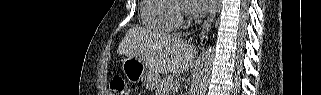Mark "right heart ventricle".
<instances>
[{
	"label": "right heart ventricle",
	"mask_w": 321,
	"mask_h": 95,
	"mask_svg": "<svg viewBox=\"0 0 321 95\" xmlns=\"http://www.w3.org/2000/svg\"><path fill=\"white\" fill-rule=\"evenodd\" d=\"M176 4L174 0H143L141 20L154 32L170 33L176 28Z\"/></svg>",
	"instance_id": "obj_1"
}]
</instances>
